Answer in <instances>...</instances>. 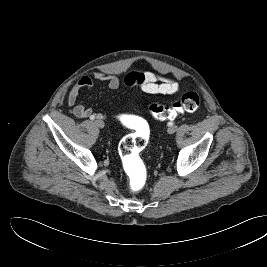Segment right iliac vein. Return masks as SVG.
I'll return each instance as SVG.
<instances>
[{
    "label": "right iliac vein",
    "mask_w": 267,
    "mask_h": 267,
    "mask_svg": "<svg viewBox=\"0 0 267 267\" xmlns=\"http://www.w3.org/2000/svg\"><path fill=\"white\" fill-rule=\"evenodd\" d=\"M95 124H96V126L97 127H99V128H103L104 127V122L101 120V119H97L96 121H95Z\"/></svg>",
    "instance_id": "obj_1"
}]
</instances>
